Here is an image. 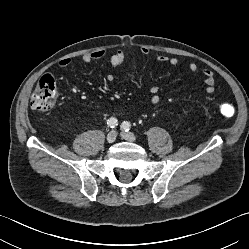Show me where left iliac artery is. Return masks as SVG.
<instances>
[{
    "instance_id": "1",
    "label": "left iliac artery",
    "mask_w": 249,
    "mask_h": 249,
    "mask_svg": "<svg viewBox=\"0 0 249 249\" xmlns=\"http://www.w3.org/2000/svg\"><path fill=\"white\" fill-rule=\"evenodd\" d=\"M121 128L127 132V131H129V130H130L131 125H130V123H129V122L124 121V122L121 124Z\"/></svg>"
}]
</instances>
